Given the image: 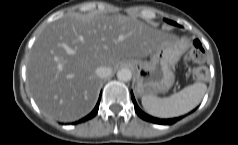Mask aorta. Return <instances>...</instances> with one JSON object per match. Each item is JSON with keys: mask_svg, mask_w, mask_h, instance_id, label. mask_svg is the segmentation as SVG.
Listing matches in <instances>:
<instances>
[{"mask_svg": "<svg viewBox=\"0 0 238 145\" xmlns=\"http://www.w3.org/2000/svg\"><path fill=\"white\" fill-rule=\"evenodd\" d=\"M117 78L124 82L130 81L132 78V72L128 68H121L117 71Z\"/></svg>", "mask_w": 238, "mask_h": 145, "instance_id": "762f6f07", "label": "aorta"}]
</instances>
